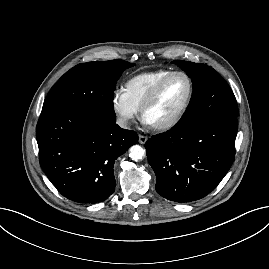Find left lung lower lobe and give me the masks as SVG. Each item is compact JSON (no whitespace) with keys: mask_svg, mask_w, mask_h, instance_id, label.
<instances>
[{"mask_svg":"<svg viewBox=\"0 0 269 269\" xmlns=\"http://www.w3.org/2000/svg\"><path fill=\"white\" fill-rule=\"evenodd\" d=\"M237 125V116L218 115L152 136L145 148L157 193L187 203L212 192L234 161Z\"/></svg>","mask_w":269,"mask_h":269,"instance_id":"0a47b994","label":"left lung lower lobe"}]
</instances>
